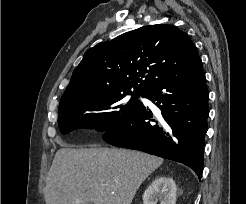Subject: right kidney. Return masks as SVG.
<instances>
[{
	"instance_id": "right-kidney-1",
	"label": "right kidney",
	"mask_w": 246,
	"mask_h": 204,
	"mask_svg": "<svg viewBox=\"0 0 246 204\" xmlns=\"http://www.w3.org/2000/svg\"><path fill=\"white\" fill-rule=\"evenodd\" d=\"M176 184L172 178L158 177L145 190L143 204H176Z\"/></svg>"
}]
</instances>
